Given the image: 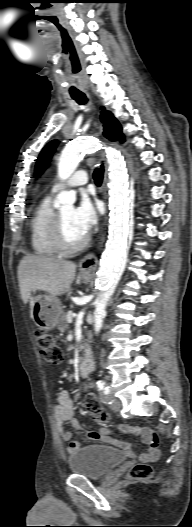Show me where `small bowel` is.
Returning a JSON list of instances; mask_svg holds the SVG:
<instances>
[{
    "instance_id": "obj_1",
    "label": "small bowel",
    "mask_w": 192,
    "mask_h": 527,
    "mask_svg": "<svg viewBox=\"0 0 192 527\" xmlns=\"http://www.w3.org/2000/svg\"><path fill=\"white\" fill-rule=\"evenodd\" d=\"M54 413H55V418H56V430L60 438L65 442H69V446L67 448L69 453L75 452L77 449L80 448V442L72 440L73 431L64 429L65 422H70L72 427L75 430L80 429V423L75 418L74 403H73V400L69 392L67 391L59 392L58 402L54 407ZM118 427H121V424H118ZM120 432L122 433V437H125V435H130L136 432L144 440H146L147 436L150 433V430L148 427H143L141 423H134L133 426L131 427L130 422L125 421L122 424V428L120 429ZM88 436H89L88 434H85V437H88ZM115 437H118V434H115ZM89 438L92 440H97L103 443H108V444L121 447L124 450H126L128 453H130V457L132 459H135L137 457V454L133 451V448L131 447V445L128 444L124 440L112 438L110 434V430L106 426H101L99 429V432L97 433L92 432ZM156 455H157L156 449L150 447L144 453L141 454L139 461L142 464L148 463L150 465H153L157 461Z\"/></svg>"
}]
</instances>
